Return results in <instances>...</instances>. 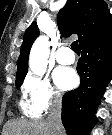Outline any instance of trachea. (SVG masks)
Wrapping results in <instances>:
<instances>
[{
  "label": "trachea",
  "mask_w": 112,
  "mask_h": 135,
  "mask_svg": "<svg viewBox=\"0 0 112 135\" xmlns=\"http://www.w3.org/2000/svg\"><path fill=\"white\" fill-rule=\"evenodd\" d=\"M71 48H72V50H73L75 53L80 54V49H79V45H78V41H77V40L74 41V42H72Z\"/></svg>",
  "instance_id": "3493384b"
}]
</instances>
